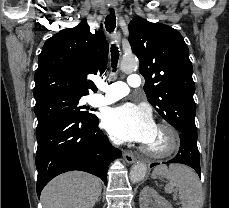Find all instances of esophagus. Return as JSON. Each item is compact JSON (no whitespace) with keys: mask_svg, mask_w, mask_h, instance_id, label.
Masks as SVG:
<instances>
[{"mask_svg":"<svg viewBox=\"0 0 229 208\" xmlns=\"http://www.w3.org/2000/svg\"><path fill=\"white\" fill-rule=\"evenodd\" d=\"M124 158L125 161L129 164H132L136 161L137 157L135 155H133L132 153L125 151L124 152Z\"/></svg>","mask_w":229,"mask_h":208,"instance_id":"34e87169","label":"esophagus"}]
</instances>
